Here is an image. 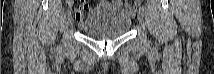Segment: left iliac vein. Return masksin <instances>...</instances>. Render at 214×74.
Returning a JSON list of instances; mask_svg holds the SVG:
<instances>
[{"mask_svg": "<svg viewBox=\"0 0 214 74\" xmlns=\"http://www.w3.org/2000/svg\"><path fill=\"white\" fill-rule=\"evenodd\" d=\"M137 18H138V21L143 25V23H144V12L139 11Z\"/></svg>", "mask_w": 214, "mask_h": 74, "instance_id": "1", "label": "left iliac vein"}]
</instances>
